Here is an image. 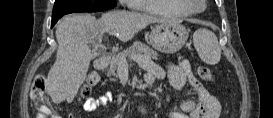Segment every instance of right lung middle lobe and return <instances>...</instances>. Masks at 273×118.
Returning <instances> with one entry per match:
<instances>
[{
	"label": "right lung middle lobe",
	"mask_w": 273,
	"mask_h": 118,
	"mask_svg": "<svg viewBox=\"0 0 273 118\" xmlns=\"http://www.w3.org/2000/svg\"><path fill=\"white\" fill-rule=\"evenodd\" d=\"M115 0H56L54 9L67 7L85 12H98L114 8Z\"/></svg>",
	"instance_id": "right-lung-middle-lobe-1"
}]
</instances>
